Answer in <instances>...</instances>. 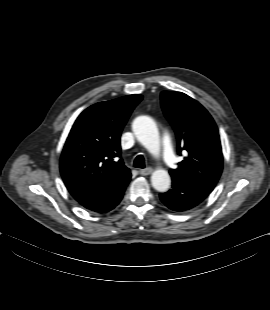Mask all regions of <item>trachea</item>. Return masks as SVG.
Here are the masks:
<instances>
[{
  "label": "trachea",
  "mask_w": 270,
  "mask_h": 310,
  "mask_svg": "<svg viewBox=\"0 0 270 310\" xmlns=\"http://www.w3.org/2000/svg\"><path fill=\"white\" fill-rule=\"evenodd\" d=\"M133 166L136 168H145V159L142 155H138L135 159H134V163Z\"/></svg>",
  "instance_id": "3493384b"
}]
</instances>
